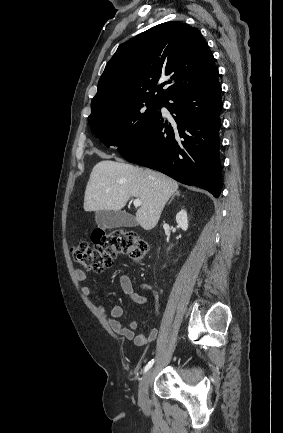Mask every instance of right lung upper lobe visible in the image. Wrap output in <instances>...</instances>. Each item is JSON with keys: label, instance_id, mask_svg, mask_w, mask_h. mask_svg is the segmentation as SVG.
<instances>
[{"label": "right lung upper lobe", "instance_id": "cb5924a9", "mask_svg": "<svg viewBox=\"0 0 283 433\" xmlns=\"http://www.w3.org/2000/svg\"><path fill=\"white\" fill-rule=\"evenodd\" d=\"M218 75L198 29L177 21L162 23L118 47L98 82L91 115L135 101L164 102Z\"/></svg>", "mask_w": 283, "mask_h": 433}]
</instances>
